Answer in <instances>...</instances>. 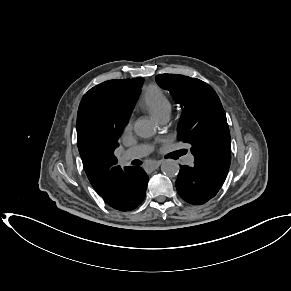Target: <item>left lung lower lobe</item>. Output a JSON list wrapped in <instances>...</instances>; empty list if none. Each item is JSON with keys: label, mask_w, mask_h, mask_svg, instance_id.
I'll return each mask as SVG.
<instances>
[{"label": "left lung lower lobe", "mask_w": 291, "mask_h": 291, "mask_svg": "<svg viewBox=\"0 0 291 291\" xmlns=\"http://www.w3.org/2000/svg\"><path fill=\"white\" fill-rule=\"evenodd\" d=\"M226 177L220 176L205 166L194 162V165H180L176 180V189L179 196L193 205L204 204L213 198Z\"/></svg>", "instance_id": "left-lung-lower-lobe-1"}]
</instances>
